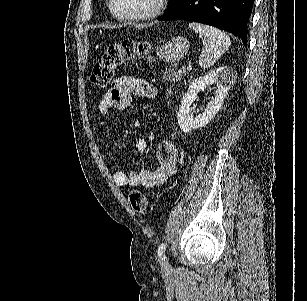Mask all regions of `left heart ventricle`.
<instances>
[{
    "label": "left heart ventricle",
    "instance_id": "obj_1",
    "mask_svg": "<svg viewBox=\"0 0 307 301\" xmlns=\"http://www.w3.org/2000/svg\"><path fill=\"white\" fill-rule=\"evenodd\" d=\"M157 0H117V4L121 6L115 7L116 13L122 11H135L142 13V11H152Z\"/></svg>",
    "mask_w": 307,
    "mask_h": 301
}]
</instances>
